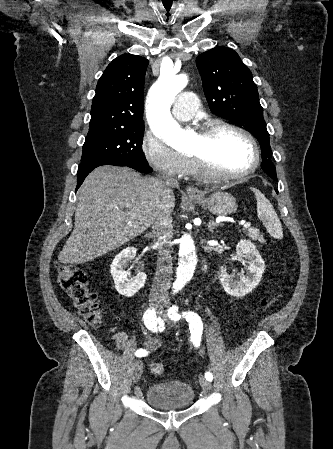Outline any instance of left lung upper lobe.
Wrapping results in <instances>:
<instances>
[{
	"label": "left lung upper lobe",
	"instance_id": "obj_1",
	"mask_svg": "<svg viewBox=\"0 0 333 449\" xmlns=\"http://www.w3.org/2000/svg\"><path fill=\"white\" fill-rule=\"evenodd\" d=\"M196 64L210 110L242 125L257 138L262 151L261 167L277 180L263 108L249 68L234 50L224 46L198 55Z\"/></svg>",
	"mask_w": 333,
	"mask_h": 449
}]
</instances>
